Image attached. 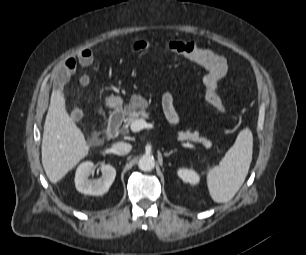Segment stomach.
I'll return each mask as SVG.
<instances>
[{"instance_id": "1", "label": "stomach", "mask_w": 306, "mask_h": 255, "mask_svg": "<svg viewBox=\"0 0 306 255\" xmlns=\"http://www.w3.org/2000/svg\"><path fill=\"white\" fill-rule=\"evenodd\" d=\"M105 102H106V105L110 108H119L123 104L121 97L114 96V95L107 97Z\"/></svg>"}]
</instances>
